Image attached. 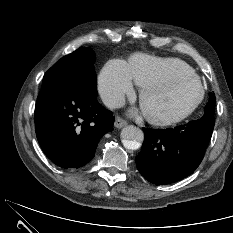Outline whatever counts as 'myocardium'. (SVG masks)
I'll return each mask as SVG.
<instances>
[{
	"label": "myocardium",
	"instance_id": "obj_1",
	"mask_svg": "<svg viewBox=\"0 0 233 233\" xmlns=\"http://www.w3.org/2000/svg\"><path fill=\"white\" fill-rule=\"evenodd\" d=\"M186 79H193L197 81L201 87V93H200L199 98L196 100V102L184 113L178 116L168 117V116H163V115L152 113L145 108L144 101H145L146 95L149 92L172 85L176 82L186 80ZM205 96H206V86L204 82L202 81V79L197 74L195 73L179 74V75H175L171 77H165V78L143 85L139 91V103H140V106L142 108L145 118L150 123L157 125V126L168 127V126H174V125L180 124L184 122L185 120H187L189 117H191L197 111V109L201 106V104L203 103L205 99Z\"/></svg>",
	"mask_w": 233,
	"mask_h": 233
}]
</instances>
